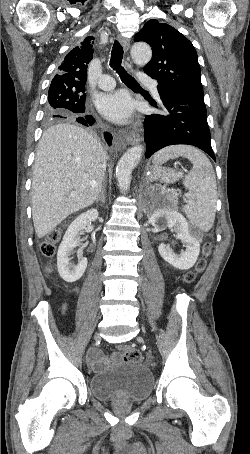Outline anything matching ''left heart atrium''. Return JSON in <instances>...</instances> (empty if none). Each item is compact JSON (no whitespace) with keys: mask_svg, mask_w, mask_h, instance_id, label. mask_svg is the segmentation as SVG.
I'll use <instances>...</instances> for the list:
<instances>
[{"mask_svg":"<svg viewBox=\"0 0 250 454\" xmlns=\"http://www.w3.org/2000/svg\"><path fill=\"white\" fill-rule=\"evenodd\" d=\"M97 107L105 118L115 122L128 120L133 111L131 99L124 92L102 95Z\"/></svg>","mask_w":250,"mask_h":454,"instance_id":"left-heart-atrium-1","label":"left heart atrium"}]
</instances>
